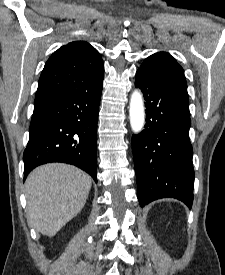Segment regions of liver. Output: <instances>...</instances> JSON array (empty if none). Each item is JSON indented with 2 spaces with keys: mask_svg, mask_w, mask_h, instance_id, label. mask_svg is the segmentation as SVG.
Segmentation results:
<instances>
[{
  "mask_svg": "<svg viewBox=\"0 0 225 275\" xmlns=\"http://www.w3.org/2000/svg\"><path fill=\"white\" fill-rule=\"evenodd\" d=\"M25 189L30 224L52 237L83 209L91 178L74 166L52 163L34 169Z\"/></svg>",
  "mask_w": 225,
  "mask_h": 275,
  "instance_id": "liver-1",
  "label": "liver"
}]
</instances>
